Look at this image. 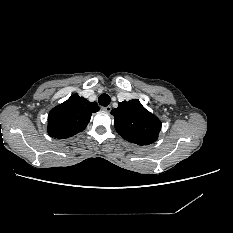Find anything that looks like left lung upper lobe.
<instances>
[{
    "instance_id": "left-lung-upper-lobe-1",
    "label": "left lung upper lobe",
    "mask_w": 233,
    "mask_h": 233,
    "mask_svg": "<svg viewBox=\"0 0 233 233\" xmlns=\"http://www.w3.org/2000/svg\"><path fill=\"white\" fill-rule=\"evenodd\" d=\"M117 133L137 145H149L156 141L161 130V121L138 100L120 102L111 111Z\"/></svg>"
}]
</instances>
